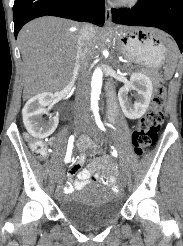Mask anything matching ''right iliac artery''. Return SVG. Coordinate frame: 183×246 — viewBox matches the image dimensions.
<instances>
[{
    "instance_id": "right-iliac-artery-1",
    "label": "right iliac artery",
    "mask_w": 183,
    "mask_h": 246,
    "mask_svg": "<svg viewBox=\"0 0 183 246\" xmlns=\"http://www.w3.org/2000/svg\"><path fill=\"white\" fill-rule=\"evenodd\" d=\"M74 139H75L74 135L69 137L67 152H66V156H65V163H68L71 159Z\"/></svg>"
}]
</instances>
